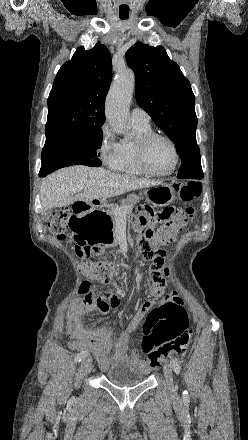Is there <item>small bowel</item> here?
<instances>
[{
  "label": "small bowel",
  "mask_w": 248,
  "mask_h": 440,
  "mask_svg": "<svg viewBox=\"0 0 248 440\" xmlns=\"http://www.w3.org/2000/svg\"><path fill=\"white\" fill-rule=\"evenodd\" d=\"M143 222H148L146 216H143ZM170 262V259H162V257H153V259L148 260V270L152 279L150 289L152 299L144 302L132 317L126 330L118 335H115L113 330L106 326L95 329L87 327L83 322V317L94 310L106 314L110 309L117 308L120 303L119 294L111 290L95 289L101 293L109 291L114 297L112 299L102 297L98 305L89 309H83L80 305H75L67 317L66 329L71 339L69 347L74 350H88L92 352L97 358L100 368L103 370L108 369L117 362L127 363L143 371H149L154 368L147 358L143 359L140 356L137 350H130V335L139 327L144 315L162 302L169 304L171 301H174L180 305L182 304V299L177 292L163 296L165 289L169 285L168 277L172 274L168 267L171 264Z\"/></svg>",
  "instance_id": "c3829d8e"
}]
</instances>
